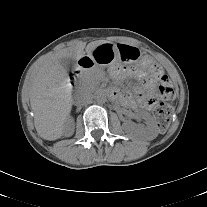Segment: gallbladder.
<instances>
[{"label": "gallbladder", "mask_w": 207, "mask_h": 207, "mask_svg": "<svg viewBox=\"0 0 207 207\" xmlns=\"http://www.w3.org/2000/svg\"><path fill=\"white\" fill-rule=\"evenodd\" d=\"M59 62L66 70H71L75 66V63L71 58H62Z\"/></svg>", "instance_id": "bac80fb5"}]
</instances>
